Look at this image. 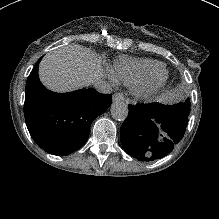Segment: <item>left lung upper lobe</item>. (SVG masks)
Masks as SVG:
<instances>
[{
  "instance_id": "1",
  "label": "left lung upper lobe",
  "mask_w": 219,
  "mask_h": 219,
  "mask_svg": "<svg viewBox=\"0 0 219 219\" xmlns=\"http://www.w3.org/2000/svg\"><path fill=\"white\" fill-rule=\"evenodd\" d=\"M174 107L184 111L185 113H189L190 112V100L187 99L185 102H180L178 104H174Z\"/></svg>"
}]
</instances>
